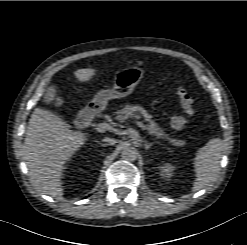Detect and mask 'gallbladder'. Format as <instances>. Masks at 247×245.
Here are the masks:
<instances>
[{"label": "gallbladder", "instance_id": "obj_1", "mask_svg": "<svg viewBox=\"0 0 247 245\" xmlns=\"http://www.w3.org/2000/svg\"><path fill=\"white\" fill-rule=\"evenodd\" d=\"M54 99H55V89L52 87H49L47 92L44 95L43 100L46 104H51L54 101Z\"/></svg>", "mask_w": 247, "mask_h": 245}]
</instances>
